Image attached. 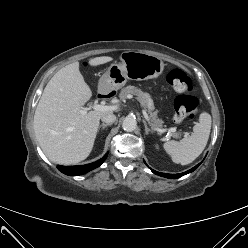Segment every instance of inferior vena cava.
<instances>
[{
    "label": "inferior vena cava",
    "instance_id": "inferior-vena-cava-1",
    "mask_svg": "<svg viewBox=\"0 0 248 248\" xmlns=\"http://www.w3.org/2000/svg\"><path fill=\"white\" fill-rule=\"evenodd\" d=\"M101 120L105 123L112 124L116 121V116L114 114H107L102 116Z\"/></svg>",
    "mask_w": 248,
    "mask_h": 248
}]
</instances>
